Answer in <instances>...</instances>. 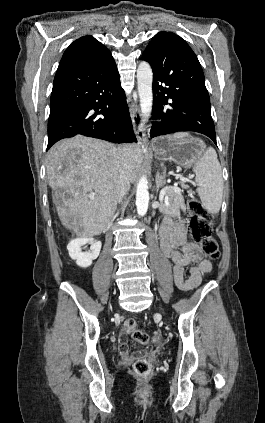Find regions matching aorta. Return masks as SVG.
I'll use <instances>...</instances> for the list:
<instances>
[{"instance_id": "1", "label": "aorta", "mask_w": 265, "mask_h": 423, "mask_svg": "<svg viewBox=\"0 0 265 423\" xmlns=\"http://www.w3.org/2000/svg\"><path fill=\"white\" fill-rule=\"evenodd\" d=\"M137 83L141 112L143 117L147 119L152 111L153 102V73L148 62L142 61L139 64L137 69ZM148 204V181L146 176L143 175L138 181L136 190V207L139 216H144L146 214L148 210Z\"/></svg>"}]
</instances>
